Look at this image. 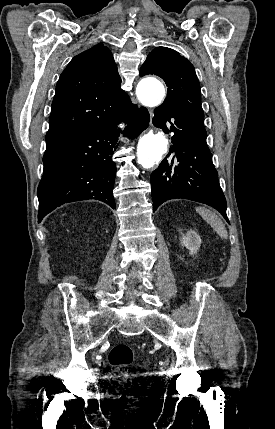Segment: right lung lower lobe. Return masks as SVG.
<instances>
[{"mask_svg":"<svg viewBox=\"0 0 275 429\" xmlns=\"http://www.w3.org/2000/svg\"><path fill=\"white\" fill-rule=\"evenodd\" d=\"M133 139L149 125V113L128 103L123 113L107 123L74 131L49 141L43 156L44 173L39 183L38 222L56 207L73 201L97 199L116 208L113 186L116 165L112 154L121 130Z\"/></svg>","mask_w":275,"mask_h":429,"instance_id":"right-lung-lower-lobe-1","label":"right lung lower lobe"}]
</instances>
